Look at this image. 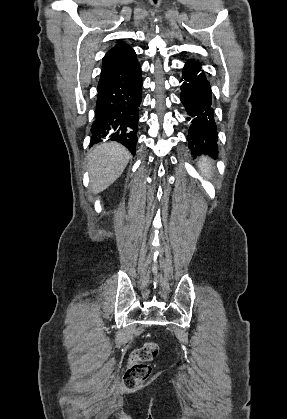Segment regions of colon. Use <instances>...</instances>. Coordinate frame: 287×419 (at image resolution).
<instances>
[{"label": "colon", "instance_id": "obj_1", "mask_svg": "<svg viewBox=\"0 0 287 419\" xmlns=\"http://www.w3.org/2000/svg\"><path fill=\"white\" fill-rule=\"evenodd\" d=\"M157 353L158 346L152 342H147L132 352L123 379L127 390H136L144 385L151 372L149 362Z\"/></svg>", "mask_w": 287, "mask_h": 419}]
</instances>
